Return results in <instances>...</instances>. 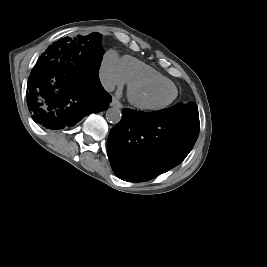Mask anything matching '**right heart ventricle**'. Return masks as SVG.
I'll return each mask as SVG.
<instances>
[{
    "mask_svg": "<svg viewBox=\"0 0 267 267\" xmlns=\"http://www.w3.org/2000/svg\"><path fill=\"white\" fill-rule=\"evenodd\" d=\"M121 67L125 81L128 83L141 79L170 81L151 66L130 56H124L121 59Z\"/></svg>",
    "mask_w": 267,
    "mask_h": 267,
    "instance_id": "e07e8e85",
    "label": "right heart ventricle"
}]
</instances>
